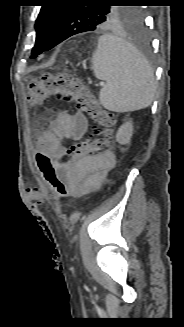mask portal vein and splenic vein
I'll list each match as a JSON object with an SVG mask.
<instances>
[{"instance_id": "portal-vein-and-splenic-vein-1", "label": "portal vein and splenic vein", "mask_w": 184, "mask_h": 327, "mask_svg": "<svg viewBox=\"0 0 184 327\" xmlns=\"http://www.w3.org/2000/svg\"><path fill=\"white\" fill-rule=\"evenodd\" d=\"M101 85L103 86V85H104V83L102 82V83H101Z\"/></svg>"}]
</instances>
